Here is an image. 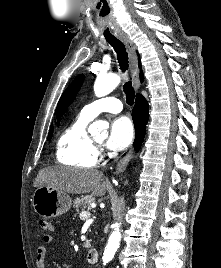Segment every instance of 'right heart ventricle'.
Here are the masks:
<instances>
[{"label":"right heart ventricle","mask_w":221,"mask_h":268,"mask_svg":"<svg viewBox=\"0 0 221 268\" xmlns=\"http://www.w3.org/2000/svg\"><path fill=\"white\" fill-rule=\"evenodd\" d=\"M91 119L80 113L62 132L56 147L57 161L76 168H92L97 164L99 152L87 133Z\"/></svg>","instance_id":"e07e8e85"}]
</instances>
